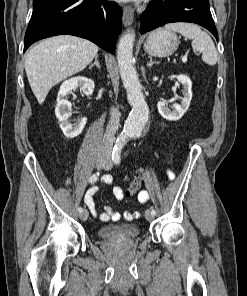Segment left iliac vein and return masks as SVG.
<instances>
[{
	"instance_id": "left-iliac-vein-1",
	"label": "left iliac vein",
	"mask_w": 247,
	"mask_h": 296,
	"mask_svg": "<svg viewBox=\"0 0 247 296\" xmlns=\"http://www.w3.org/2000/svg\"><path fill=\"white\" fill-rule=\"evenodd\" d=\"M112 168V160L110 158H108L105 162V164L103 165V169L105 170H110ZM154 214L150 211V210H146L145 212V218L148 221H152L154 219Z\"/></svg>"
}]
</instances>
